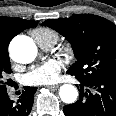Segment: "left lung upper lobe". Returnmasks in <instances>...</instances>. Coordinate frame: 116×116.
Returning <instances> with one entry per match:
<instances>
[{"label": "left lung upper lobe", "instance_id": "obj_1", "mask_svg": "<svg viewBox=\"0 0 116 116\" xmlns=\"http://www.w3.org/2000/svg\"><path fill=\"white\" fill-rule=\"evenodd\" d=\"M63 35L72 45L77 61L67 71L79 80L116 77V25L93 15L48 19L42 23Z\"/></svg>", "mask_w": 116, "mask_h": 116}]
</instances>
